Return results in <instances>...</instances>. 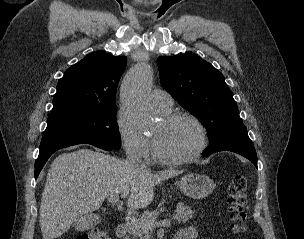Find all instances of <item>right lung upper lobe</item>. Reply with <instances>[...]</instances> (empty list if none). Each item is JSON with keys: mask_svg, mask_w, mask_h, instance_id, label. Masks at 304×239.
Instances as JSON below:
<instances>
[{"mask_svg": "<svg viewBox=\"0 0 304 239\" xmlns=\"http://www.w3.org/2000/svg\"><path fill=\"white\" fill-rule=\"evenodd\" d=\"M126 56L97 51L66 70L57 84L52 112L115 105L116 89Z\"/></svg>", "mask_w": 304, "mask_h": 239, "instance_id": "1", "label": "right lung upper lobe"}]
</instances>
